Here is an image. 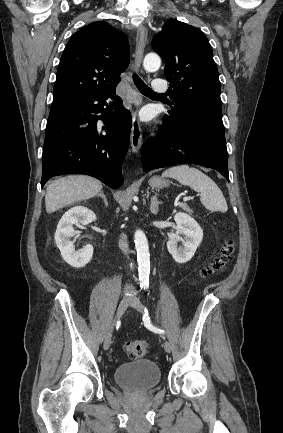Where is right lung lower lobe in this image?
Returning a JSON list of instances; mask_svg holds the SVG:
<instances>
[{"mask_svg":"<svg viewBox=\"0 0 283 433\" xmlns=\"http://www.w3.org/2000/svg\"><path fill=\"white\" fill-rule=\"evenodd\" d=\"M108 98L113 102L108 104ZM131 121V114L122 106L115 89L51 107L43 146L41 187L56 175L87 174L118 188L123 182L121 169L129 146Z\"/></svg>","mask_w":283,"mask_h":433,"instance_id":"right-lung-lower-lobe-1","label":"right lung lower lobe"}]
</instances>
